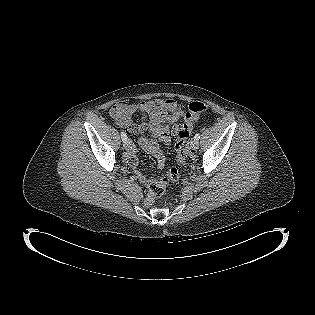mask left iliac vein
Listing matches in <instances>:
<instances>
[{
  "mask_svg": "<svg viewBox=\"0 0 315 315\" xmlns=\"http://www.w3.org/2000/svg\"><path fill=\"white\" fill-rule=\"evenodd\" d=\"M190 147L192 150H197L199 148V142L195 138L191 140Z\"/></svg>",
  "mask_w": 315,
  "mask_h": 315,
  "instance_id": "1",
  "label": "left iliac vein"
}]
</instances>
